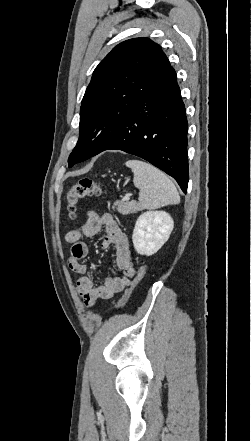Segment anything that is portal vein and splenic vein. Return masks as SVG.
<instances>
[{
	"label": "portal vein and splenic vein",
	"instance_id": "obj_1",
	"mask_svg": "<svg viewBox=\"0 0 251 441\" xmlns=\"http://www.w3.org/2000/svg\"><path fill=\"white\" fill-rule=\"evenodd\" d=\"M130 199V194H126L123 198V200H129Z\"/></svg>",
	"mask_w": 251,
	"mask_h": 441
}]
</instances>
